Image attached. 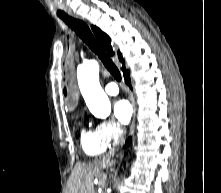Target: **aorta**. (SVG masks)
<instances>
[{
	"mask_svg": "<svg viewBox=\"0 0 221 193\" xmlns=\"http://www.w3.org/2000/svg\"><path fill=\"white\" fill-rule=\"evenodd\" d=\"M78 85L90 112L97 118L111 113V104L99 83V64L95 60L83 63L77 70Z\"/></svg>",
	"mask_w": 221,
	"mask_h": 193,
	"instance_id": "762f6f07",
	"label": "aorta"
}]
</instances>
